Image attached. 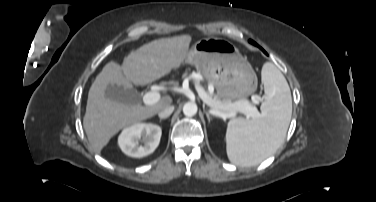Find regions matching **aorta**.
Listing matches in <instances>:
<instances>
[{
	"label": "aorta",
	"mask_w": 376,
	"mask_h": 202,
	"mask_svg": "<svg viewBox=\"0 0 376 202\" xmlns=\"http://www.w3.org/2000/svg\"><path fill=\"white\" fill-rule=\"evenodd\" d=\"M198 111L197 104L194 102H187L183 106V113L185 116H194Z\"/></svg>",
	"instance_id": "obj_1"
}]
</instances>
